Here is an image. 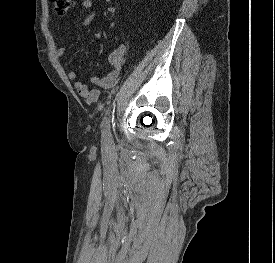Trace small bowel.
Wrapping results in <instances>:
<instances>
[{
	"instance_id": "c3829d8e",
	"label": "small bowel",
	"mask_w": 275,
	"mask_h": 263,
	"mask_svg": "<svg viewBox=\"0 0 275 263\" xmlns=\"http://www.w3.org/2000/svg\"><path fill=\"white\" fill-rule=\"evenodd\" d=\"M81 9L87 11L86 16L81 21V26L90 25L97 16V10L93 5L92 0H82ZM126 48L123 44L118 45L109 55V63L111 70L105 76L99 78L91 76L90 82L96 87H89L83 81L77 80L75 70H69L68 78L73 81L74 88L77 90L81 98L96 102L100 97V90L113 91L117 81L121 78L124 72V55ZM67 52V46L63 45L56 51V57L61 58Z\"/></svg>"
}]
</instances>
